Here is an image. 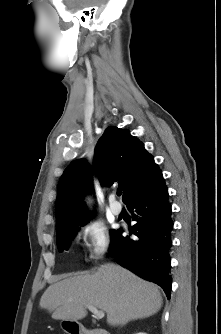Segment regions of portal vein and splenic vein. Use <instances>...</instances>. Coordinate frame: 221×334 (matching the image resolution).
Returning <instances> with one entry per match:
<instances>
[{
	"label": "portal vein and splenic vein",
	"mask_w": 221,
	"mask_h": 334,
	"mask_svg": "<svg viewBox=\"0 0 221 334\" xmlns=\"http://www.w3.org/2000/svg\"><path fill=\"white\" fill-rule=\"evenodd\" d=\"M86 307L90 312H92L94 314V316L97 319H102L105 316V313H104L103 310H99L93 305H87Z\"/></svg>",
	"instance_id": "1"
}]
</instances>
